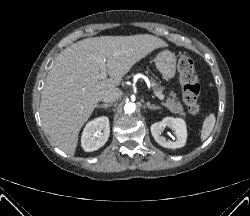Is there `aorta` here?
Wrapping results in <instances>:
<instances>
[{"label":"aorta","instance_id":"aorta-1","mask_svg":"<svg viewBox=\"0 0 250 216\" xmlns=\"http://www.w3.org/2000/svg\"><path fill=\"white\" fill-rule=\"evenodd\" d=\"M136 105L132 102L126 103L124 106V111L128 114H131L135 111Z\"/></svg>","mask_w":250,"mask_h":216}]
</instances>
